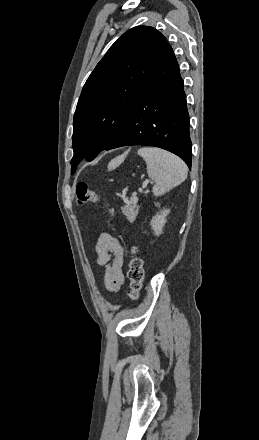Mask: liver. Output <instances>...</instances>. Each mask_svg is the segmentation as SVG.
I'll list each match as a JSON object with an SVG mask.
<instances>
[{
	"label": "liver",
	"instance_id": "6515ba94",
	"mask_svg": "<svg viewBox=\"0 0 259 440\" xmlns=\"http://www.w3.org/2000/svg\"><path fill=\"white\" fill-rule=\"evenodd\" d=\"M124 158H125V155H122V156H120V157H117V158L113 159V160L109 163L108 168H109V169H114V168H116L118 165H120V164L122 163V161L124 160Z\"/></svg>",
	"mask_w": 259,
	"mask_h": 440
}]
</instances>
